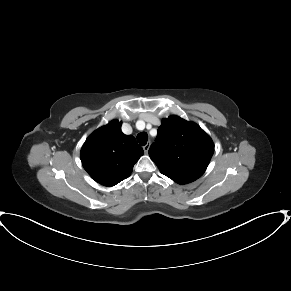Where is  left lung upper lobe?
Wrapping results in <instances>:
<instances>
[{
	"mask_svg": "<svg viewBox=\"0 0 291 291\" xmlns=\"http://www.w3.org/2000/svg\"><path fill=\"white\" fill-rule=\"evenodd\" d=\"M213 152L211 138L197 124L173 115L162 120L149 156L162 174L186 184L205 172Z\"/></svg>",
	"mask_w": 291,
	"mask_h": 291,
	"instance_id": "left-lung-upper-lobe-1",
	"label": "left lung upper lobe"
}]
</instances>
